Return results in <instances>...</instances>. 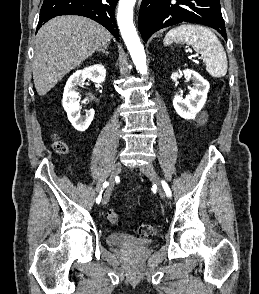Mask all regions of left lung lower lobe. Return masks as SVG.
I'll return each mask as SVG.
<instances>
[{
	"label": "left lung lower lobe",
	"mask_w": 259,
	"mask_h": 294,
	"mask_svg": "<svg viewBox=\"0 0 259 294\" xmlns=\"http://www.w3.org/2000/svg\"><path fill=\"white\" fill-rule=\"evenodd\" d=\"M181 22L212 27L227 41L219 0L142 1L139 13V30L145 42L156 31Z\"/></svg>",
	"instance_id": "left-lung-lower-lobe-1"
}]
</instances>
